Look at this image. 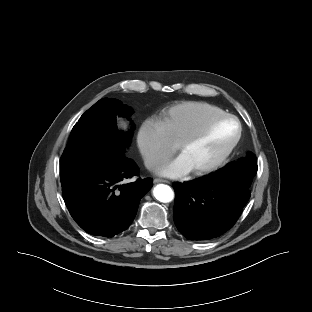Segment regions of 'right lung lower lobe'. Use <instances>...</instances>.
<instances>
[{"label": "right lung lower lobe", "instance_id": "98d812e1", "mask_svg": "<svg viewBox=\"0 0 312 312\" xmlns=\"http://www.w3.org/2000/svg\"><path fill=\"white\" fill-rule=\"evenodd\" d=\"M135 175V163L122 156L62 187L73 219L84 231L96 236L112 237L127 229L140 199L153 185L151 178L122 184Z\"/></svg>", "mask_w": 312, "mask_h": 312}]
</instances>
